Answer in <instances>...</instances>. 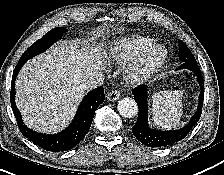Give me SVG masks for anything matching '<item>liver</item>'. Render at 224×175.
Returning <instances> with one entry per match:
<instances>
[{
    "label": "liver",
    "mask_w": 224,
    "mask_h": 175,
    "mask_svg": "<svg viewBox=\"0 0 224 175\" xmlns=\"http://www.w3.org/2000/svg\"><path fill=\"white\" fill-rule=\"evenodd\" d=\"M101 50L64 41L24 65L15 101L29 128L50 134L69 124L86 93L81 85L105 68Z\"/></svg>",
    "instance_id": "obj_1"
}]
</instances>
